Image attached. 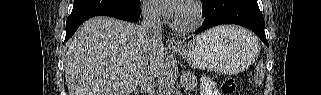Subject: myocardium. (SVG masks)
Returning <instances> with one entry per match:
<instances>
[{
	"label": "myocardium",
	"instance_id": "myocardium-1",
	"mask_svg": "<svg viewBox=\"0 0 321 95\" xmlns=\"http://www.w3.org/2000/svg\"><path fill=\"white\" fill-rule=\"evenodd\" d=\"M183 13L187 17V21L183 22L179 17L172 21V27L179 32H191L195 30L202 21L203 11L197 1H189L184 6Z\"/></svg>",
	"mask_w": 321,
	"mask_h": 95
}]
</instances>
